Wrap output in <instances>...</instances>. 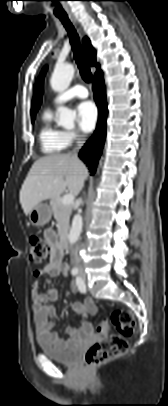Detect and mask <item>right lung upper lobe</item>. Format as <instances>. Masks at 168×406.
Here are the masks:
<instances>
[{
    "label": "right lung upper lobe",
    "mask_w": 168,
    "mask_h": 406,
    "mask_svg": "<svg viewBox=\"0 0 168 406\" xmlns=\"http://www.w3.org/2000/svg\"><path fill=\"white\" fill-rule=\"evenodd\" d=\"M82 45H83L84 54L86 56L88 64L90 66H96L98 69L94 75V78L97 76H100L102 74V71L100 70V66L96 62V52H95V49L92 47L90 40L87 37H85L82 40ZM46 69H47V67H45L42 70V73L36 83L34 98H33L32 107H31L32 119L35 118L36 112L38 111L40 104H41V97H42V93H43L42 84H43V78H44Z\"/></svg>",
    "instance_id": "1"
}]
</instances>
